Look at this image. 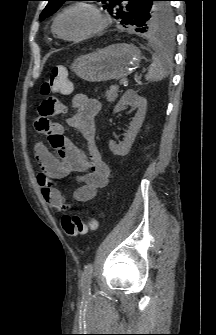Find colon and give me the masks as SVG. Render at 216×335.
<instances>
[{
  "mask_svg": "<svg viewBox=\"0 0 216 335\" xmlns=\"http://www.w3.org/2000/svg\"><path fill=\"white\" fill-rule=\"evenodd\" d=\"M70 91L71 82L68 79V72L66 67L62 65L53 67L49 77L41 86V93L44 96L52 93H69ZM99 216L100 212L96 209H93L92 214L86 218L75 214H66L61 219V226L70 237L85 235L97 228Z\"/></svg>",
  "mask_w": 216,
  "mask_h": 335,
  "instance_id": "1",
  "label": "colon"
}]
</instances>
